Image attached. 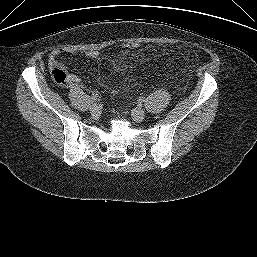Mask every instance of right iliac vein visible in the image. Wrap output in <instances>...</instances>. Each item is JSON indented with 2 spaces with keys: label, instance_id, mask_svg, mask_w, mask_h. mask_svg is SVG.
<instances>
[{
  "label": "right iliac vein",
  "instance_id": "1",
  "mask_svg": "<svg viewBox=\"0 0 257 257\" xmlns=\"http://www.w3.org/2000/svg\"><path fill=\"white\" fill-rule=\"evenodd\" d=\"M89 110H90V113H91L92 115H94V116H98V115H100V113H101V108H100V106L97 105V104H92V105L90 106Z\"/></svg>",
  "mask_w": 257,
  "mask_h": 257
}]
</instances>
